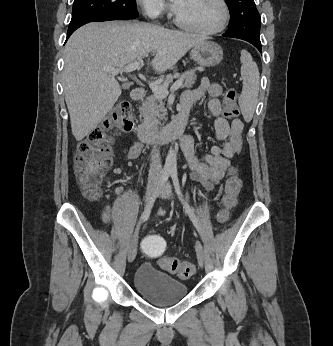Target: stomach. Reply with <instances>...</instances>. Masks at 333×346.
Listing matches in <instances>:
<instances>
[{
  "label": "stomach",
  "instance_id": "obj_1",
  "mask_svg": "<svg viewBox=\"0 0 333 346\" xmlns=\"http://www.w3.org/2000/svg\"><path fill=\"white\" fill-rule=\"evenodd\" d=\"M191 57L202 67H213L221 62L223 50L218 44L204 40L192 47Z\"/></svg>",
  "mask_w": 333,
  "mask_h": 346
}]
</instances>
